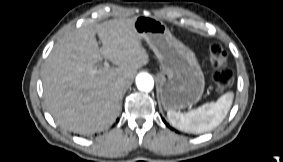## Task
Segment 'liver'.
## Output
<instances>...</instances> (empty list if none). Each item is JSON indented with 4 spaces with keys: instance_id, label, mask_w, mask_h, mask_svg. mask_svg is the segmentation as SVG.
Returning a JSON list of instances; mask_svg holds the SVG:
<instances>
[{
    "instance_id": "obj_1",
    "label": "liver",
    "mask_w": 283,
    "mask_h": 162,
    "mask_svg": "<svg viewBox=\"0 0 283 162\" xmlns=\"http://www.w3.org/2000/svg\"><path fill=\"white\" fill-rule=\"evenodd\" d=\"M133 21L119 18L87 25L55 43L43 65L42 82L45 105L61 128L90 134L115 122L124 90L118 81L131 85L136 70L149 62ZM103 58L117 67L97 70Z\"/></svg>"
}]
</instances>
